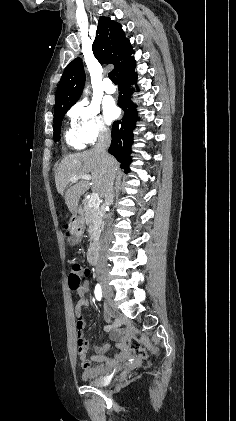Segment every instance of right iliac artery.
<instances>
[{
    "label": "right iliac artery",
    "instance_id": "82829eb1",
    "mask_svg": "<svg viewBox=\"0 0 236 421\" xmlns=\"http://www.w3.org/2000/svg\"><path fill=\"white\" fill-rule=\"evenodd\" d=\"M94 293H95L96 299L100 301L102 297V289H101L100 284L96 285Z\"/></svg>",
    "mask_w": 236,
    "mask_h": 421
}]
</instances>
